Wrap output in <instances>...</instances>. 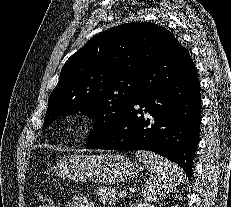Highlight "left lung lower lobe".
I'll return each mask as SVG.
<instances>
[{"mask_svg": "<svg viewBox=\"0 0 231 207\" xmlns=\"http://www.w3.org/2000/svg\"><path fill=\"white\" fill-rule=\"evenodd\" d=\"M200 111L195 65L189 51L176 40L141 75L138 97L128 106L116 130L87 147L153 151L177 163L190 180Z\"/></svg>", "mask_w": 231, "mask_h": 207, "instance_id": "obj_1", "label": "left lung lower lobe"}]
</instances>
